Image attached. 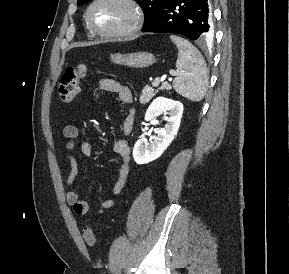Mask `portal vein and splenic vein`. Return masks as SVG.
Segmentation results:
<instances>
[{
	"mask_svg": "<svg viewBox=\"0 0 289 274\" xmlns=\"http://www.w3.org/2000/svg\"><path fill=\"white\" fill-rule=\"evenodd\" d=\"M171 75H172V76H177V75H179V73H178V72H172ZM160 81H161L160 78H156V79L153 81L152 85H153L154 87H156V86H158V85L160 84Z\"/></svg>",
	"mask_w": 289,
	"mask_h": 274,
	"instance_id": "portal-vein-and-splenic-vein-1",
	"label": "portal vein and splenic vein"
}]
</instances>
